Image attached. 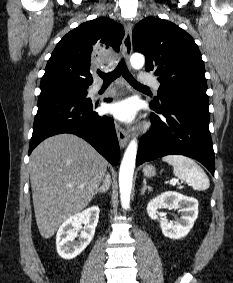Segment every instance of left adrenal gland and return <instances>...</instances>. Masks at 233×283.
Segmentation results:
<instances>
[{"mask_svg":"<svg viewBox=\"0 0 233 283\" xmlns=\"http://www.w3.org/2000/svg\"><path fill=\"white\" fill-rule=\"evenodd\" d=\"M147 189H148L149 191L152 190V188H151L150 186H147L146 179H144V180H143V188H142V190H141V194L143 195Z\"/></svg>","mask_w":233,"mask_h":283,"instance_id":"left-adrenal-gland-1","label":"left adrenal gland"}]
</instances>
